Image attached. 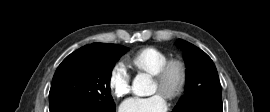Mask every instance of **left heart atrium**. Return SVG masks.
<instances>
[{
	"instance_id": "obj_1",
	"label": "left heart atrium",
	"mask_w": 270,
	"mask_h": 112,
	"mask_svg": "<svg viewBox=\"0 0 270 112\" xmlns=\"http://www.w3.org/2000/svg\"><path fill=\"white\" fill-rule=\"evenodd\" d=\"M167 103L164 96L156 93L149 97H131L123 101L119 112H165Z\"/></svg>"
}]
</instances>
